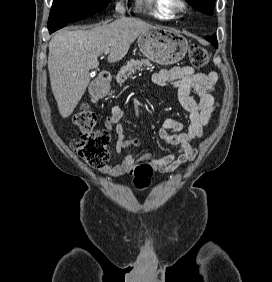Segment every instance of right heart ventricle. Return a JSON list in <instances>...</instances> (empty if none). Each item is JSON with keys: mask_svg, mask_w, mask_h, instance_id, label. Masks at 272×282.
Masks as SVG:
<instances>
[{"mask_svg": "<svg viewBox=\"0 0 272 282\" xmlns=\"http://www.w3.org/2000/svg\"><path fill=\"white\" fill-rule=\"evenodd\" d=\"M140 3L150 4L152 15L160 20H171L174 14L169 8V0H137Z\"/></svg>", "mask_w": 272, "mask_h": 282, "instance_id": "e07e8e85", "label": "right heart ventricle"}]
</instances>
